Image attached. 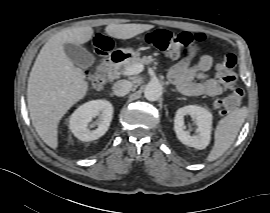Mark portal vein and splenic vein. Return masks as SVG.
<instances>
[{
	"label": "portal vein and splenic vein",
	"mask_w": 270,
	"mask_h": 213,
	"mask_svg": "<svg viewBox=\"0 0 270 213\" xmlns=\"http://www.w3.org/2000/svg\"><path fill=\"white\" fill-rule=\"evenodd\" d=\"M144 66L141 63L138 64H134L133 66H131L130 68H127L124 72L123 75L126 76H131V75H135V74H139L143 71Z\"/></svg>",
	"instance_id": "18ae733b"
}]
</instances>
